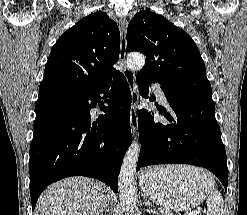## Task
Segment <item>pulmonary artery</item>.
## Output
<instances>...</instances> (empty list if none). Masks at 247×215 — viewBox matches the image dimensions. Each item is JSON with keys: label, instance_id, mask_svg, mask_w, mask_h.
<instances>
[{"label": "pulmonary artery", "instance_id": "pulmonary-artery-1", "mask_svg": "<svg viewBox=\"0 0 247 215\" xmlns=\"http://www.w3.org/2000/svg\"><path fill=\"white\" fill-rule=\"evenodd\" d=\"M152 90L161 102L167 103L165 94L159 84H153Z\"/></svg>", "mask_w": 247, "mask_h": 215}]
</instances>
